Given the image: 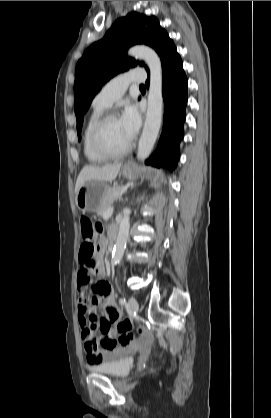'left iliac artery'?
Masks as SVG:
<instances>
[{
    "mask_svg": "<svg viewBox=\"0 0 271 418\" xmlns=\"http://www.w3.org/2000/svg\"><path fill=\"white\" fill-rule=\"evenodd\" d=\"M119 303H120L121 305H125V304H126V299H125V298H120V299H119Z\"/></svg>",
    "mask_w": 271,
    "mask_h": 418,
    "instance_id": "left-iliac-artery-1",
    "label": "left iliac artery"
}]
</instances>
